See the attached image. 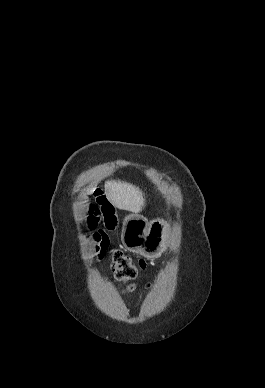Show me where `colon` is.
I'll return each mask as SVG.
<instances>
[{
	"instance_id": "colon-1",
	"label": "colon",
	"mask_w": 265,
	"mask_h": 388,
	"mask_svg": "<svg viewBox=\"0 0 265 388\" xmlns=\"http://www.w3.org/2000/svg\"><path fill=\"white\" fill-rule=\"evenodd\" d=\"M99 221H102L107 230L113 231L117 227V213L115 207L104 196L101 190L95 193V201L89 205L88 222L93 231L95 250L97 257L104 255L109 249L108 238L102 229L97 228ZM111 269L115 279L124 285L126 293L135 289L132 281L137 276V268L132 259L122 251L113 249L110 251Z\"/></svg>"
}]
</instances>
